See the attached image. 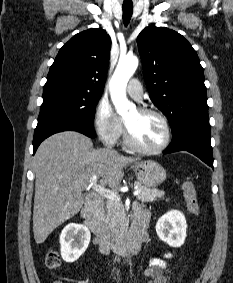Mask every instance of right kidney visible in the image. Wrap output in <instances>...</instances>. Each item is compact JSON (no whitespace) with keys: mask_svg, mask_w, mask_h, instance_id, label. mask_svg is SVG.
<instances>
[{"mask_svg":"<svg viewBox=\"0 0 233 283\" xmlns=\"http://www.w3.org/2000/svg\"><path fill=\"white\" fill-rule=\"evenodd\" d=\"M89 229L81 224H68L61 232V256L68 263L75 262L87 249L90 242Z\"/></svg>","mask_w":233,"mask_h":283,"instance_id":"ca27d5eb","label":"right kidney"}]
</instances>
